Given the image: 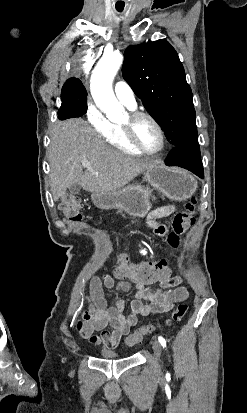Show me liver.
I'll return each instance as SVG.
<instances>
[{
  "mask_svg": "<svg viewBox=\"0 0 247 413\" xmlns=\"http://www.w3.org/2000/svg\"><path fill=\"white\" fill-rule=\"evenodd\" d=\"M48 160L54 200H58L75 182L90 192L121 190L152 164L111 148L83 118L56 122ZM82 160L91 162V166H85L87 170L84 172Z\"/></svg>",
  "mask_w": 247,
  "mask_h": 413,
  "instance_id": "6515ba94",
  "label": "liver"
}]
</instances>
